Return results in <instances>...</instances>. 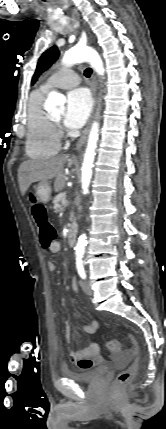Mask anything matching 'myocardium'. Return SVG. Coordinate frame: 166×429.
Here are the masks:
<instances>
[{"label":"myocardium","instance_id":"obj_1","mask_svg":"<svg viewBox=\"0 0 166 429\" xmlns=\"http://www.w3.org/2000/svg\"><path fill=\"white\" fill-rule=\"evenodd\" d=\"M53 124L55 125V128L59 126V120H55L53 118H51ZM58 133V132H57ZM59 135V134H58Z\"/></svg>","mask_w":166,"mask_h":429}]
</instances>
